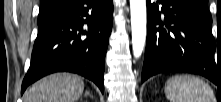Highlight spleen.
Instances as JSON below:
<instances>
[{"label":"spleen","instance_id":"spleen-1","mask_svg":"<svg viewBox=\"0 0 221 102\" xmlns=\"http://www.w3.org/2000/svg\"><path fill=\"white\" fill-rule=\"evenodd\" d=\"M165 94L170 102H212L210 86L192 75H176L167 80Z\"/></svg>","mask_w":221,"mask_h":102}]
</instances>
